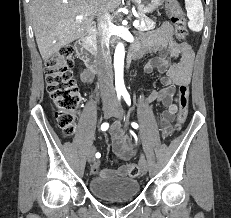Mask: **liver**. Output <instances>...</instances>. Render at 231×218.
Returning a JSON list of instances; mask_svg holds the SVG:
<instances>
[{
  "label": "liver",
  "mask_w": 231,
  "mask_h": 218,
  "mask_svg": "<svg viewBox=\"0 0 231 218\" xmlns=\"http://www.w3.org/2000/svg\"><path fill=\"white\" fill-rule=\"evenodd\" d=\"M121 0H31L30 15L44 61L62 47L84 37L94 18L113 12ZM82 16V19L77 17Z\"/></svg>",
  "instance_id": "liver-1"
}]
</instances>
